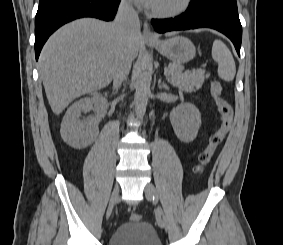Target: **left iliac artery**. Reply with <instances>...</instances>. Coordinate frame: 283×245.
<instances>
[{
  "label": "left iliac artery",
  "mask_w": 283,
  "mask_h": 245,
  "mask_svg": "<svg viewBox=\"0 0 283 245\" xmlns=\"http://www.w3.org/2000/svg\"><path fill=\"white\" fill-rule=\"evenodd\" d=\"M162 210H161V208H158L157 209V211H156V219H157V223H158V225L160 224V222H161V216H162ZM164 217V216H163ZM164 219L166 220V222H167V219L164 217ZM167 224H168V222H167Z\"/></svg>",
  "instance_id": "left-iliac-artery-1"
}]
</instances>
